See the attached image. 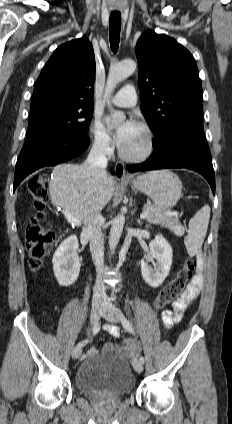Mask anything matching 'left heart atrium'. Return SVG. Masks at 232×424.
<instances>
[{
	"mask_svg": "<svg viewBox=\"0 0 232 424\" xmlns=\"http://www.w3.org/2000/svg\"><path fill=\"white\" fill-rule=\"evenodd\" d=\"M138 128V124L133 119L125 120L117 129L114 139L116 144L123 148L131 139Z\"/></svg>",
	"mask_w": 232,
	"mask_h": 424,
	"instance_id": "left-heart-atrium-1",
	"label": "left heart atrium"
}]
</instances>
